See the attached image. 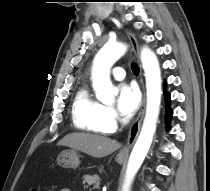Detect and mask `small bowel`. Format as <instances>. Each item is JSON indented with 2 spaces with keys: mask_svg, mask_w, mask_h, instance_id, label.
Listing matches in <instances>:
<instances>
[{
  "mask_svg": "<svg viewBox=\"0 0 210 191\" xmlns=\"http://www.w3.org/2000/svg\"><path fill=\"white\" fill-rule=\"evenodd\" d=\"M60 191H71V190L67 189V188H64V189H61Z\"/></svg>",
  "mask_w": 210,
  "mask_h": 191,
  "instance_id": "1",
  "label": "small bowel"
}]
</instances>
